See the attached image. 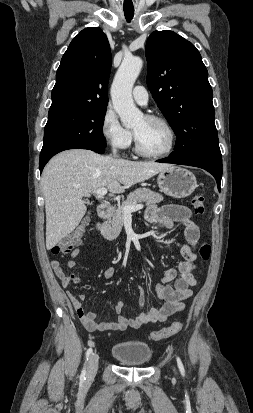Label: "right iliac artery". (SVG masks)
I'll return each mask as SVG.
<instances>
[{
	"label": "right iliac artery",
	"mask_w": 253,
	"mask_h": 413,
	"mask_svg": "<svg viewBox=\"0 0 253 413\" xmlns=\"http://www.w3.org/2000/svg\"><path fill=\"white\" fill-rule=\"evenodd\" d=\"M91 354H92V348H89L86 352V363H85L84 368H83V370L81 372V375H80V380L81 381H84L86 379L87 364H88V360H89Z\"/></svg>",
	"instance_id": "1"
}]
</instances>
